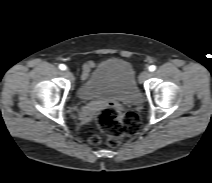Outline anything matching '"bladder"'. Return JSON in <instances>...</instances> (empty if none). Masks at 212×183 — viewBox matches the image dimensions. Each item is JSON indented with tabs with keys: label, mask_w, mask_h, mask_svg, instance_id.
I'll return each instance as SVG.
<instances>
[{
	"label": "bladder",
	"mask_w": 212,
	"mask_h": 183,
	"mask_svg": "<svg viewBox=\"0 0 212 183\" xmlns=\"http://www.w3.org/2000/svg\"><path fill=\"white\" fill-rule=\"evenodd\" d=\"M77 95L85 101L114 100L131 105L141 102L132 66L118 58L101 61L80 84Z\"/></svg>",
	"instance_id": "1"
}]
</instances>
